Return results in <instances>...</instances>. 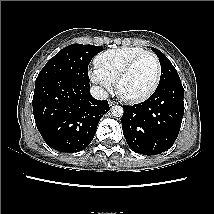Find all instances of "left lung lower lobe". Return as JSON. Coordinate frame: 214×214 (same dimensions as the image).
Instances as JSON below:
<instances>
[{
	"label": "left lung lower lobe",
	"instance_id": "obj_1",
	"mask_svg": "<svg viewBox=\"0 0 214 214\" xmlns=\"http://www.w3.org/2000/svg\"><path fill=\"white\" fill-rule=\"evenodd\" d=\"M183 97L181 82H172L142 103L123 105V134L134 152L149 156L171 148L184 115Z\"/></svg>",
	"mask_w": 214,
	"mask_h": 214
}]
</instances>
